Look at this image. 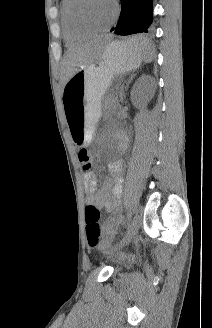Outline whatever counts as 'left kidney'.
<instances>
[{
  "label": "left kidney",
  "mask_w": 212,
  "mask_h": 328,
  "mask_svg": "<svg viewBox=\"0 0 212 328\" xmlns=\"http://www.w3.org/2000/svg\"><path fill=\"white\" fill-rule=\"evenodd\" d=\"M142 80H143V78H140V79L136 82L135 86H138V85L142 82ZM153 85H154V82H153V81H150V82H149V86L152 87ZM151 89H152V88H151ZM151 89H150V90H151ZM134 93H135V90L132 91V102H133L134 104H137V100H136V98L134 97ZM153 93H154V91L151 90V92H150L151 96L153 95Z\"/></svg>",
  "instance_id": "left-kidney-1"
}]
</instances>
